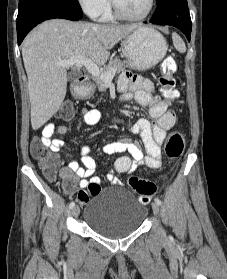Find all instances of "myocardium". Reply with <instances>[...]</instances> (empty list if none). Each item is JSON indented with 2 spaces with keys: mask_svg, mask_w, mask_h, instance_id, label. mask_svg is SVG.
Listing matches in <instances>:
<instances>
[{
  "mask_svg": "<svg viewBox=\"0 0 227 279\" xmlns=\"http://www.w3.org/2000/svg\"><path fill=\"white\" fill-rule=\"evenodd\" d=\"M110 2H111L113 14L117 18L129 20V21H141L146 19L152 13L155 5V0H149L148 7L143 14L138 16H132L123 12L122 9L116 4L115 0H110Z\"/></svg>",
  "mask_w": 227,
  "mask_h": 279,
  "instance_id": "myocardium-1",
  "label": "myocardium"
}]
</instances>
